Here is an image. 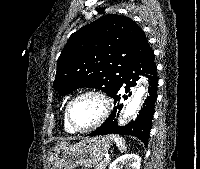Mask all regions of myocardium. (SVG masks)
Returning a JSON list of instances; mask_svg holds the SVG:
<instances>
[{
  "instance_id": "f54148a6",
  "label": "myocardium",
  "mask_w": 200,
  "mask_h": 169,
  "mask_svg": "<svg viewBox=\"0 0 200 169\" xmlns=\"http://www.w3.org/2000/svg\"><path fill=\"white\" fill-rule=\"evenodd\" d=\"M87 96H93L99 99L102 105V112L98 120L93 125L86 128H78L73 123L72 116H71V108L77 100L83 97H87ZM111 110H112V101L110 97L104 91L100 89L90 88V89L81 91L68 102L66 106V118H67L68 124L75 132L86 133V132H90L97 129L107 119Z\"/></svg>"
}]
</instances>
